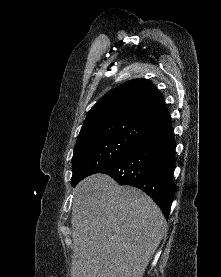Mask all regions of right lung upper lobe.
Returning <instances> with one entry per match:
<instances>
[{"mask_svg": "<svg viewBox=\"0 0 221 277\" xmlns=\"http://www.w3.org/2000/svg\"><path fill=\"white\" fill-rule=\"evenodd\" d=\"M165 105L159 90L146 79H133L106 93L90 110L81 131L111 124L138 122Z\"/></svg>", "mask_w": 221, "mask_h": 277, "instance_id": "cb5924a9", "label": "right lung upper lobe"}]
</instances>
